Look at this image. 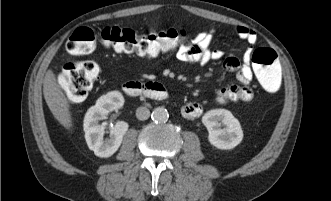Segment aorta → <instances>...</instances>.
<instances>
[{
  "label": "aorta",
  "instance_id": "obj_1",
  "mask_svg": "<svg viewBox=\"0 0 331 201\" xmlns=\"http://www.w3.org/2000/svg\"><path fill=\"white\" fill-rule=\"evenodd\" d=\"M152 120L157 123L166 122L169 118V113L164 107H157L152 111Z\"/></svg>",
  "mask_w": 331,
  "mask_h": 201
}]
</instances>
